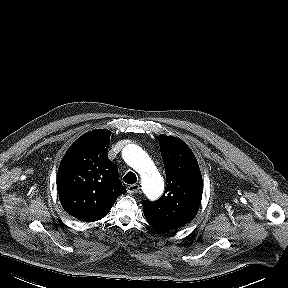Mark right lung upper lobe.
Returning a JSON list of instances; mask_svg holds the SVG:
<instances>
[{"mask_svg": "<svg viewBox=\"0 0 288 288\" xmlns=\"http://www.w3.org/2000/svg\"><path fill=\"white\" fill-rule=\"evenodd\" d=\"M111 133L91 131L76 140L63 157L57 188L64 210L73 217L93 222L110 211L116 199L126 193L117 166L108 159Z\"/></svg>", "mask_w": 288, "mask_h": 288, "instance_id": "right-lung-upper-lobe-1", "label": "right lung upper lobe"}]
</instances>
